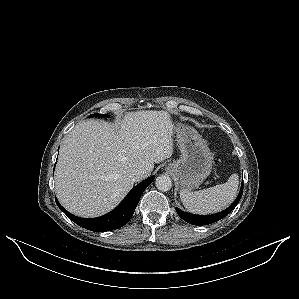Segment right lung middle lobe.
Listing matches in <instances>:
<instances>
[{
	"label": "right lung middle lobe",
	"mask_w": 299,
	"mask_h": 299,
	"mask_svg": "<svg viewBox=\"0 0 299 299\" xmlns=\"http://www.w3.org/2000/svg\"><path fill=\"white\" fill-rule=\"evenodd\" d=\"M91 116H98V117H109L107 114H92V115H90V117Z\"/></svg>",
	"instance_id": "dd1d6c3e"
}]
</instances>
